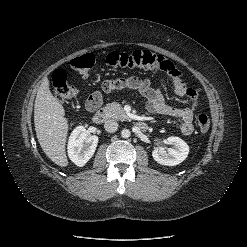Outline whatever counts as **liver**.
Returning <instances> with one entry per match:
<instances>
[{"instance_id": "6515ba94", "label": "liver", "mask_w": 247, "mask_h": 247, "mask_svg": "<svg viewBox=\"0 0 247 247\" xmlns=\"http://www.w3.org/2000/svg\"><path fill=\"white\" fill-rule=\"evenodd\" d=\"M34 124L38 142L46 156L58 166L66 167L68 120L65 118L64 107L50 91L47 77L42 79L36 95Z\"/></svg>"}]
</instances>
